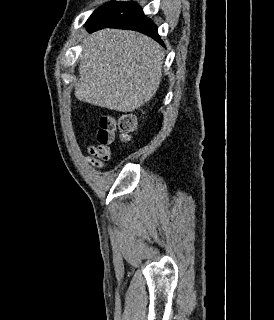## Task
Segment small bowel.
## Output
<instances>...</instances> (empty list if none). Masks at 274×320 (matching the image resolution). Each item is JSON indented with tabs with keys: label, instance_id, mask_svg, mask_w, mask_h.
<instances>
[{
	"label": "small bowel",
	"instance_id": "small-bowel-1",
	"mask_svg": "<svg viewBox=\"0 0 274 320\" xmlns=\"http://www.w3.org/2000/svg\"><path fill=\"white\" fill-rule=\"evenodd\" d=\"M86 150L90 155L84 156V159L96 168H103L106 166L105 163H112L113 161L112 156L109 154L111 151L109 146H87ZM92 153H94V156Z\"/></svg>",
	"mask_w": 274,
	"mask_h": 320
}]
</instances>
